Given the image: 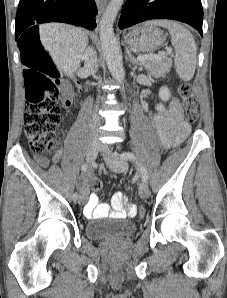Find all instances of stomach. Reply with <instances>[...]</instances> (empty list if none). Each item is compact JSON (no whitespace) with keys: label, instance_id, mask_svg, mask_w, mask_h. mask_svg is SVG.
I'll use <instances>...</instances> for the list:
<instances>
[{"label":"stomach","instance_id":"0dacf381","mask_svg":"<svg viewBox=\"0 0 227 298\" xmlns=\"http://www.w3.org/2000/svg\"><path fill=\"white\" fill-rule=\"evenodd\" d=\"M164 33L155 25L145 23L133 28L125 35V42L130 47L142 52H153L165 42Z\"/></svg>","mask_w":227,"mask_h":298}]
</instances>
